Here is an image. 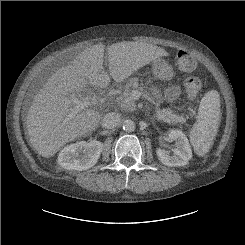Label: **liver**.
I'll list each match as a JSON object with an SVG mask.
<instances>
[{
  "instance_id": "obj_1",
  "label": "liver",
  "mask_w": 245,
  "mask_h": 245,
  "mask_svg": "<svg viewBox=\"0 0 245 245\" xmlns=\"http://www.w3.org/2000/svg\"><path fill=\"white\" fill-rule=\"evenodd\" d=\"M110 76L120 83L150 62L168 56L161 47L122 41L106 48ZM105 45L96 44L80 52L68 65L51 75L34 97L27 114V131L31 146L39 155L52 157L61 147L94 131L101 114L90 108L67 120L73 108L71 94H79L87 86L105 88L110 76L103 67Z\"/></svg>"
}]
</instances>
